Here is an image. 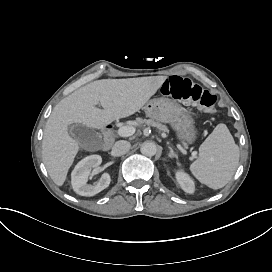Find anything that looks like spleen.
<instances>
[{
	"instance_id": "spleen-1",
	"label": "spleen",
	"mask_w": 272,
	"mask_h": 272,
	"mask_svg": "<svg viewBox=\"0 0 272 272\" xmlns=\"http://www.w3.org/2000/svg\"><path fill=\"white\" fill-rule=\"evenodd\" d=\"M240 151L227 126L218 124L199 147V157L190 165L192 174L212 189L224 187L239 163Z\"/></svg>"
}]
</instances>
